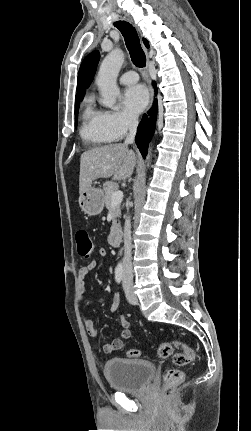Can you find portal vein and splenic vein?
<instances>
[{
  "mask_svg": "<svg viewBox=\"0 0 251 431\" xmlns=\"http://www.w3.org/2000/svg\"><path fill=\"white\" fill-rule=\"evenodd\" d=\"M122 200H123V192L120 190L114 192L111 196L112 205L120 204Z\"/></svg>",
  "mask_w": 251,
  "mask_h": 431,
  "instance_id": "obj_1",
  "label": "portal vein and splenic vein"
}]
</instances>
